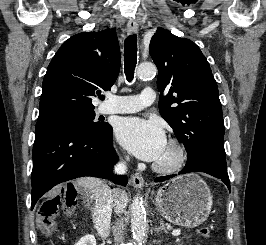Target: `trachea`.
<instances>
[{
    "label": "trachea",
    "mask_w": 266,
    "mask_h": 245,
    "mask_svg": "<svg viewBox=\"0 0 266 245\" xmlns=\"http://www.w3.org/2000/svg\"><path fill=\"white\" fill-rule=\"evenodd\" d=\"M137 63V38L136 35H130L125 40L124 47V70L128 81H132L134 70Z\"/></svg>",
    "instance_id": "3493384b"
}]
</instances>
